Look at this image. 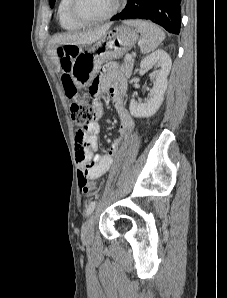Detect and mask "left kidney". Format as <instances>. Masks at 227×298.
<instances>
[{
	"mask_svg": "<svg viewBox=\"0 0 227 298\" xmlns=\"http://www.w3.org/2000/svg\"><path fill=\"white\" fill-rule=\"evenodd\" d=\"M151 65L158 68V72L145 102L138 103L134 99L131 100L129 110L134 117L153 116L164 100V94L168 84L167 77L172 65L171 58L164 50L158 49L141 61L140 68L143 70Z\"/></svg>",
	"mask_w": 227,
	"mask_h": 298,
	"instance_id": "5707ae66",
	"label": "left kidney"
}]
</instances>
